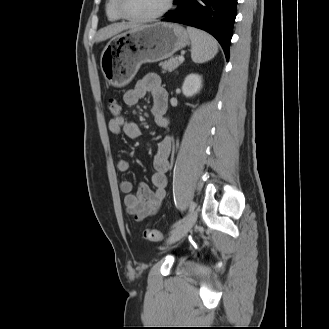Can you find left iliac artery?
<instances>
[{
	"mask_svg": "<svg viewBox=\"0 0 329 329\" xmlns=\"http://www.w3.org/2000/svg\"><path fill=\"white\" fill-rule=\"evenodd\" d=\"M194 208H195V203H194V202H191V204H190V212L193 211ZM185 218H186V217H184L183 219H180V220H178L176 223H174V224L172 225V228L179 226L182 222H184Z\"/></svg>",
	"mask_w": 329,
	"mask_h": 329,
	"instance_id": "obj_1",
	"label": "left iliac artery"
}]
</instances>
